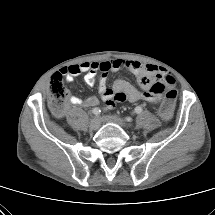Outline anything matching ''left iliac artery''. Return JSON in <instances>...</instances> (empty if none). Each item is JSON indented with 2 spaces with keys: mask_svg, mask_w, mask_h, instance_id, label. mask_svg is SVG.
Returning <instances> with one entry per match:
<instances>
[{
  "mask_svg": "<svg viewBox=\"0 0 215 215\" xmlns=\"http://www.w3.org/2000/svg\"><path fill=\"white\" fill-rule=\"evenodd\" d=\"M134 112H135L136 114H140V113L142 112V108H141L140 106H137V107L134 109ZM126 120H127L128 122H130L132 119H131L130 117H126Z\"/></svg>",
  "mask_w": 215,
  "mask_h": 215,
  "instance_id": "44dca946",
  "label": "left iliac artery"
}]
</instances>
